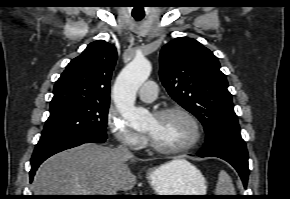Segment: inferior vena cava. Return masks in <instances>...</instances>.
Returning a JSON list of instances; mask_svg holds the SVG:
<instances>
[{"mask_svg":"<svg viewBox=\"0 0 290 199\" xmlns=\"http://www.w3.org/2000/svg\"><path fill=\"white\" fill-rule=\"evenodd\" d=\"M117 150L124 155H131V152L128 150V148L125 145H119L117 147Z\"/></svg>","mask_w":290,"mask_h":199,"instance_id":"inferior-vena-cava-1","label":"inferior vena cava"}]
</instances>
